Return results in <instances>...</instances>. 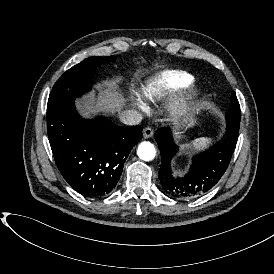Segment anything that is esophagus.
<instances>
[{"label": "esophagus", "mask_w": 274, "mask_h": 274, "mask_svg": "<svg viewBox=\"0 0 274 274\" xmlns=\"http://www.w3.org/2000/svg\"><path fill=\"white\" fill-rule=\"evenodd\" d=\"M153 134H154V130L151 127L147 126V127L144 128L143 137L145 139H148V138L152 137Z\"/></svg>", "instance_id": "1"}]
</instances>
